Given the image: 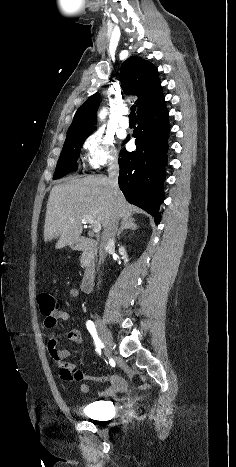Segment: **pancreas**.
I'll list each match as a JSON object with an SVG mask.
<instances>
[{
    "instance_id": "cf45deb5",
    "label": "pancreas",
    "mask_w": 236,
    "mask_h": 467,
    "mask_svg": "<svg viewBox=\"0 0 236 467\" xmlns=\"http://www.w3.org/2000/svg\"><path fill=\"white\" fill-rule=\"evenodd\" d=\"M93 259H94V255L91 252H84V254L81 256V259H80L81 267L86 268L93 261Z\"/></svg>"
}]
</instances>
